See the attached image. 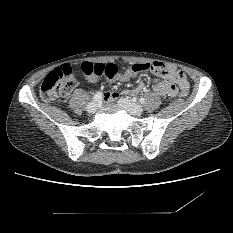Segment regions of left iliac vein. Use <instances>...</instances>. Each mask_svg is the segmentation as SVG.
Returning a JSON list of instances; mask_svg holds the SVG:
<instances>
[{
    "instance_id": "left-iliac-vein-1",
    "label": "left iliac vein",
    "mask_w": 233,
    "mask_h": 233,
    "mask_svg": "<svg viewBox=\"0 0 233 233\" xmlns=\"http://www.w3.org/2000/svg\"><path fill=\"white\" fill-rule=\"evenodd\" d=\"M118 103L131 115H139L143 112V107L141 105L126 98H119Z\"/></svg>"
}]
</instances>
